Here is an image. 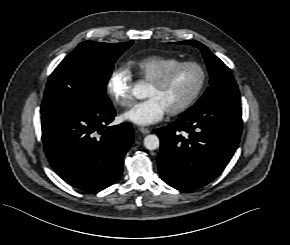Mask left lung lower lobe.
Instances as JSON below:
<instances>
[{"mask_svg":"<svg viewBox=\"0 0 290 245\" xmlns=\"http://www.w3.org/2000/svg\"><path fill=\"white\" fill-rule=\"evenodd\" d=\"M241 131V104L208 102L192 106L175 122L156 130L161 178L181 191L210 183L234 155Z\"/></svg>","mask_w":290,"mask_h":245,"instance_id":"obj_1","label":"left lung lower lobe"}]
</instances>
